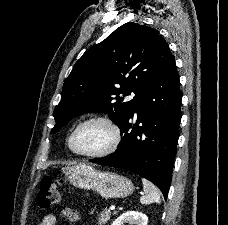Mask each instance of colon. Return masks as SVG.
Listing matches in <instances>:
<instances>
[{"label": "colon", "instance_id": "1", "mask_svg": "<svg viewBox=\"0 0 228 225\" xmlns=\"http://www.w3.org/2000/svg\"><path fill=\"white\" fill-rule=\"evenodd\" d=\"M60 191L58 183L54 179L45 176L41 180V189L36 196V204L41 208H48L49 205L58 201Z\"/></svg>", "mask_w": 228, "mask_h": 225}]
</instances>
